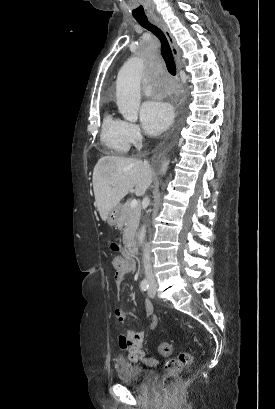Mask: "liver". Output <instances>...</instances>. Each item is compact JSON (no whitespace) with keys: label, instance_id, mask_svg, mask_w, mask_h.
I'll use <instances>...</instances> for the list:
<instances>
[{"label":"liver","instance_id":"1","mask_svg":"<svg viewBox=\"0 0 275 409\" xmlns=\"http://www.w3.org/2000/svg\"><path fill=\"white\" fill-rule=\"evenodd\" d=\"M148 160L125 156H101L93 170V190L102 221L111 209L135 186V194L142 196L152 182Z\"/></svg>","mask_w":275,"mask_h":409}]
</instances>
